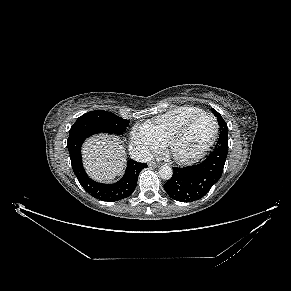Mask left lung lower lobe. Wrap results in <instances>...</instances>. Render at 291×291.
<instances>
[{"label":"left lung lower lobe","mask_w":291,"mask_h":291,"mask_svg":"<svg viewBox=\"0 0 291 291\" xmlns=\"http://www.w3.org/2000/svg\"><path fill=\"white\" fill-rule=\"evenodd\" d=\"M228 152V139L220 135L214 151L200 164L174 167L164 189L174 200L193 202L204 197L220 179Z\"/></svg>","instance_id":"obj_1"}]
</instances>
